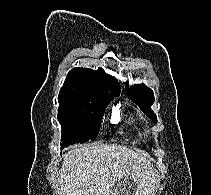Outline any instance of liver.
Segmentation results:
<instances>
[{
    "label": "liver",
    "instance_id": "1",
    "mask_svg": "<svg viewBox=\"0 0 211 195\" xmlns=\"http://www.w3.org/2000/svg\"><path fill=\"white\" fill-rule=\"evenodd\" d=\"M124 179H132L135 193L117 191ZM158 181L151 162L139 153L117 144H84L64 154L58 195H155Z\"/></svg>",
    "mask_w": 211,
    "mask_h": 195
}]
</instances>
